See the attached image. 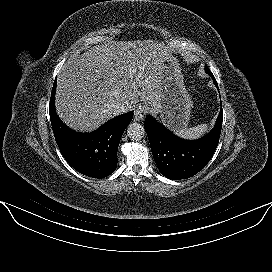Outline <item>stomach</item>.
I'll return each mask as SVG.
<instances>
[{"instance_id": "stomach-1", "label": "stomach", "mask_w": 272, "mask_h": 272, "mask_svg": "<svg viewBox=\"0 0 272 272\" xmlns=\"http://www.w3.org/2000/svg\"><path fill=\"white\" fill-rule=\"evenodd\" d=\"M193 102L185 88L178 60L172 55L162 66L161 91L151 111L158 114L163 123L174 131L188 126Z\"/></svg>"}]
</instances>
